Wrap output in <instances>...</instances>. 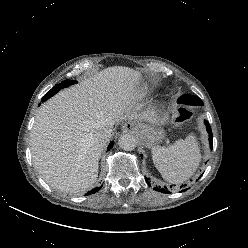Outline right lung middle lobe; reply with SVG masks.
I'll list each match as a JSON object with an SVG mask.
<instances>
[{"mask_svg":"<svg viewBox=\"0 0 248 248\" xmlns=\"http://www.w3.org/2000/svg\"><path fill=\"white\" fill-rule=\"evenodd\" d=\"M75 83H76V81L66 80L60 84L55 85L49 92H47V94L42 98V100L45 101L46 99H49L54 94H56L60 89L68 87V86L75 84Z\"/></svg>","mask_w":248,"mask_h":248,"instance_id":"right-lung-middle-lobe-1","label":"right lung middle lobe"}]
</instances>
